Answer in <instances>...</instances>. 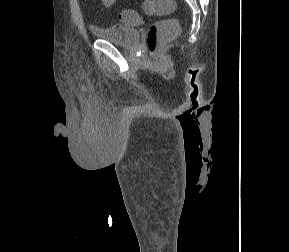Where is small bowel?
I'll return each instance as SVG.
<instances>
[{"label":"small bowel","instance_id":"obj_1","mask_svg":"<svg viewBox=\"0 0 289 252\" xmlns=\"http://www.w3.org/2000/svg\"><path fill=\"white\" fill-rule=\"evenodd\" d=\"M105 7H111L114 5L116 0H101Z\"/></svg>","mask_w":289,"mask_h":252}]
</instances>
